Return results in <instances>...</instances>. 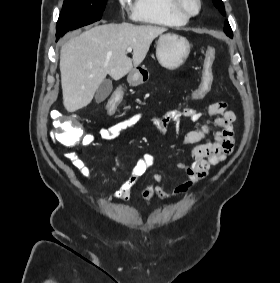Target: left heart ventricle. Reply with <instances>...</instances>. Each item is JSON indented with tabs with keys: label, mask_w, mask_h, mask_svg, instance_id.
Segmentation results:
<instances>
[{
	"label": "left heart ventricle",
	"mask_w": 280,
	"mask_h": 283,
	"mask_svg": "<svg viewBox=\"0 0 280 283\" xmlns=\"http://www.w3.org/2000/svg\"><path fill=\"white\" fill-rule=\"evenodd\" d=\"M186 4L192 10H194L196 8L195 0H186Z\"/></svg>",
	"instance_id": "left-heart-ventricle-1"
}]
</instances>
